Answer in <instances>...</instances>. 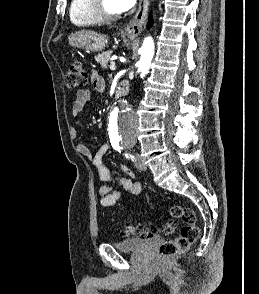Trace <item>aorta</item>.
<instances>
[{"label":"aorta","instance_id":"762f6f07","mask_svg":"<svg viewBox=\"0 0 259 294\" xmlns=\"http://www.w3.org/2000/svg\"><path fill=\"white\" fill-rule=\"evenodd\" d=\"M140 60L138 69L143 78L150 69L154 56V41L152 37H146L140 48ZM139 116L124 102L116 105L110 112L108 120V134L111 139L121 142H134L137 138Z\"/></svg>","mask_w":259,"mask_h":294}]
</instances>
